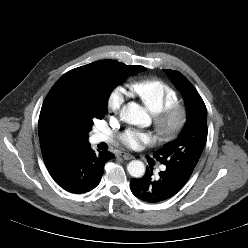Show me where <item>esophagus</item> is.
<instances>
[{
	"label": "esophagus",
	"instance_id": "esophagus-1",
	"mask_svg": "<svg viewBox=\"0 0 248 248\" xmlns=\"http://www.w3.org/2000/svg\"><path fill=\"white\" fill-rule=\"evenodd\" d=\"M117 157H122L124 160H131L133 159L134 157L129 154V153H126V152H119L116 154Z\"/></svg>",
	"mask_w": 248,
	"mask_h": 248
}]
</instances>
